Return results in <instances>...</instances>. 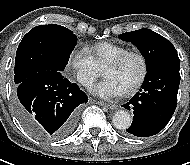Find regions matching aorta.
Listing matches in <instances>:
<instances>
[{
	"label": "aorta",
	"mask_w": 190,
	"mask_h": 165,
	"mask_svg": "<svg viewBox=\"0 0 190 165\" xmlns=\"http://www.w3.org/2000/svg\"><path fill=\"white\" fill-rule=\"evenodd\" d=\"M112 122L117 129H127L131 125L132 118L127 111L119 110L113 115Z\"/></svg>",
	"instance_id": "obj_1"
}]
</instances>
